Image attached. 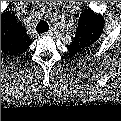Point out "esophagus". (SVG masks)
<instances>
[{"instance_id": "obj_1", "label": "esophagus", "mask_w": 121, "mask_h": 121, "mask_svg": "<svg viewBox=\"0 0 121 121\" xmlns=\"http://www.w3.org/2000/svg\"><path fill=\"white\" fill-rule=\"evenodd\" d=\"M48 33L51 35V33H52V32H51V30H49V32H48Z\"/></svg>"}]
</instances>
